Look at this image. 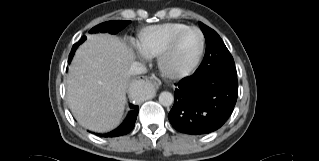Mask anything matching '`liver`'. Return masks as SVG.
<instances>
[{
    "label": "liver",
    "mask_w": 319,
    "mask_h": 161,
    "mask_svg": "<svg viewBox=\"0 0 319 161\" xmlns=\"http://www.w3.org/2000/svg\"><path fill=\"white\" fill-rule=\"evenodd\" d=\"M134 54L118 37L88 36L69 68L67 102L78 123L95 132L115 127L124 112Z\"/></svg>",
    "instance_id": "liver-1"
}]
</instances>
